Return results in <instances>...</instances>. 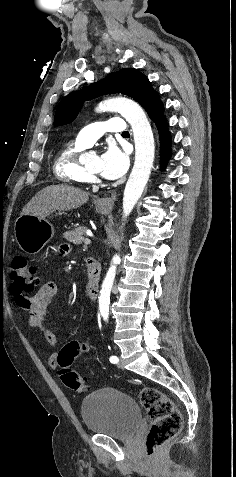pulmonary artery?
I'll use <instances>...</instances> for the list:
<instances>
[{"label": "pulmonary artery", "instance_id": "e3ab8cb5", "mask_svg": "<svg viewBox=\"0 0 236 477\" xmlns=\"http://www.w3.org/2000/svg\"><path fill=\"white\" fill-rule=\"evenodd\" d=\"M125 131L127 127L123 119L110 118L84 127L77 134L76 142L89 147L105 132L124 133Z\"/></svg>", "mask_w": 236, "mask_h": 477}]
</instances>
